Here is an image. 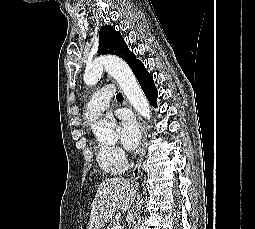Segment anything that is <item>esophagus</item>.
Here are the masks:
<instances>
[{"instance_id": "34e87169", "label": "esophagus", "mask_w": 255, "mask_h": 229, "mask_svg": "<svg viewBox=\"0 0 255 229\" xmlns=\"http://www.w3.org/2000/svg\"><path fill=\"white\" fill-rule=\"evenodd\" d=\"M125 103L127 105H129L127 100H125ZM135 115L137 117V121H138L140 130H141V133H142V138H141V146L139 149V157L137 159L136 165H135L133 172L131 174L132 180H137L139 178L140 169H141V165H142L144 154H145V143H146V139H147V132H146L144 121L141 118V116H139L137 113H135Z\"/></svg>"}]
</instances>
